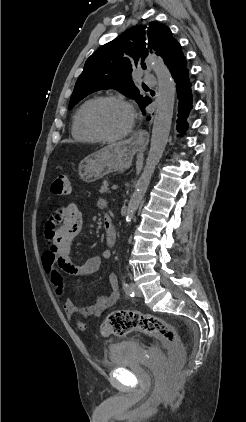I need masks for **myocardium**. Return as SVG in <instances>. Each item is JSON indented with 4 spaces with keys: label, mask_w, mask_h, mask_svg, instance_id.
<instances>
[{
    "label": "myocardium",
    "mask_w": 246,
    "mask_h": 422,
    "mask_svg": "<svg viewBox=\"0 0 246 422\" xmlns=\"http://www.w3.org/2000/svg\"><path fill=\"white\" fill-rule=\"evenodd\" d=\"M105 102H116V103L126 106L129 109L130 114H131V121L128 128L124 132L118 135H114V136L105 135L94 124L93 112L100 104L105 103ZM135 119H136V114H135L133 106L130 104V102H128L123 97L118 96V95H105V96H100V97L95 98L88 105L84 113V123L87 130L96 138L97 141L106 142V143L117 142L126 138L128 135H130L134 129Z\"/></svg>",
    "instance_id": "f54148a6"
}]
</instances>
